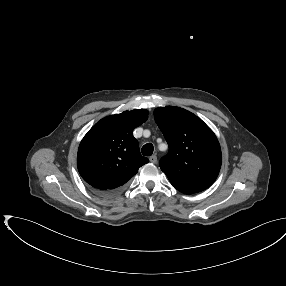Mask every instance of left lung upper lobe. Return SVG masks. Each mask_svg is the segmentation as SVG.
<instances>
[{"instance_id":"left-lung-upper-lobe-1","label":"left lung upper lobe","mask_w":286,"mask_h":286,"mask_svg":"<svg viewBox=\"0 0 286 286\" xmlns=\"http://www.w3.org/2000/svg\"><path fill=\"white\" fill-rule=\"evenodd\" d=\"M154 117L168 146L160 168L184 194L205 190L216 180L222 162L213 131L193 113L177 107L155 109Z\"/></svg>"}]
</instances>
